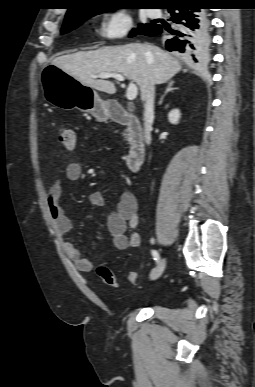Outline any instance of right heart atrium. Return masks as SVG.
I'll return each instance as SVG.
<instances>
[{
  "label": "right heart atrium",
  "instance_id": "1",
  "mask_svg": "<svg viewBox=\"0 0 255 387\" xmlns=\"http://www.w3.org/2000/svg\"><path fill=\"white\" fill-rule=\"evenodd\" d=\"M132 27L133 20L129 12L119 9L104 18L99 33L102 38L113 41L126 37Z\"/></svg>",
  "mask_w": 255,
  "mask_h": 387
}]
</instances>
